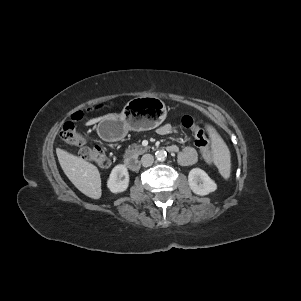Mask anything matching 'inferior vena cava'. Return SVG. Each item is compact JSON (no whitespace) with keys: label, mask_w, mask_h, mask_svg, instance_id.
<instances>
[{"label":"inferior vena cava","mask_w":301,"mask_h":301,"mask_svg":"<svg viewBox=\"0 0 301 301\" xmlns=\"http://www.w3.org/2000/svg\"><path fill=\"white\" fill-rule=\"evenodd\" d=\"M154 157L151 154H145L141 158V163L144 167H149L153 164Z\"/></svg>","instance_id":"1"}]
</instances>
